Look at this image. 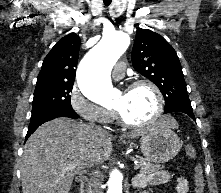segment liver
Returning <instances> with one entry per match:
<instances>
[{"label": "liver", "instance_id": "1", "mask_svg": "<svg viewBox=\"0 0 221 193\" xmlns=\"http://www.w3.org/2000/svg\"><path fill=\"white\" fill-rule=\"evenodd\" d=\"M160 124L178 128L172 117ZM145 130L127 134L135 138ZM112 136L70 118H57L41 125L27 140L21 158L23 193H69L74 176L91 164H101L112 153ZM75 165L73 170L63 168Z\"/></svg>", "mask_w": 221, "mask_h": 193}]
</instances>
